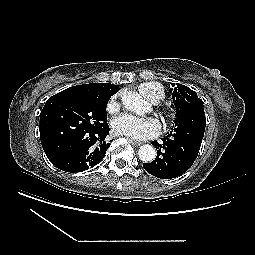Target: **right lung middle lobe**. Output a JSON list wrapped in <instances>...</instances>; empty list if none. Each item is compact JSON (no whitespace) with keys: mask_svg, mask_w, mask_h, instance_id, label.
<instances>
[{"mask_svg":"<svg viewBox=\"0 0 255 255\" xmlns=\"http://www.w3.org/2000/svg\"><path fill=\"white\" fill-rule=\"evenodd\" d=\"M110 97L52 96L40 114V139L53 152L67 141L107 124Z\"/></svg>","mask_w":255,"mask_h":255,"instance_id":"right-lung-middle-lobe-1","label":"right lung middle lobe"}]
</instances>
